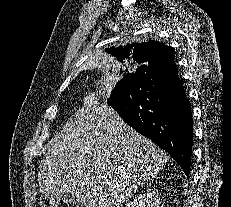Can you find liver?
Here are the masks:
<instances>
[{"instance_id": "6515ba94", "label": "liver", "mask_w": 231, "mask_h": 207, "mask_svg": "<svg viewBox=\"0 0 231 207\" xmlns=\"http://www.w3.org/2000/svg\"><path fill=\"white\" fill-rule=\"evenodd\" d=\"M167 160L163 150L103 103L79 109L48 143L38 182L49 198L76 194L85 207H122Z\"/></svg>"}]
</instances>
